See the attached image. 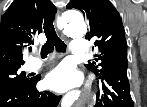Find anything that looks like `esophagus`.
<instances>
[{
  "label": "esophagus",
  "mask_w": 147,
  "mask_h": 107,
  "mask_svg": "<svg viewBox=\"0 0 147 107\" xmlns=\"http://www.w3.org/2000/svg\"><path fill=\"white\" fill-rule=\"evenodd\" d=\"M59 19H60V11L57 12L56 17H55L56 24ZM87 102L89 105H92L94 103V98H93L92 94L89 95Z\"/></svg>",
  "instance_id": "obj_1"
}]
</instances>
